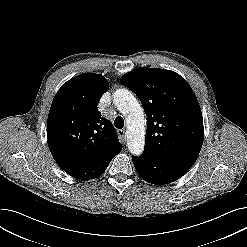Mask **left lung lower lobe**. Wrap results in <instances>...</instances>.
Instances as JSON below:
<instances>
[{"instance_id": "1", "label": "left lung lower lobe", "mask_w": 247, "mask_h": 247, "mask_svg": "<svg viewBox=\"0 0 247 247\" xmlns=\"http://www.w3.org/2000/svg\"><path fill=\"white\" fill-rule=\"evenodd\" d=\"M133 163L142 179L156 185L179 179L193 165L191 162L165 159L148 152L140 157L133 156Z\"/></svg>"}]
</instances>
